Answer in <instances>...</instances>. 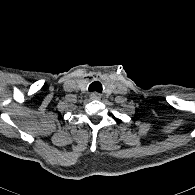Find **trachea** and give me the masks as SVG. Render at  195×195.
<instances>
[{
  "instance_id": "3493384b",
  "label": "trachea",
  "mask_w": 195,
  "mask_h": 195,
  "mask_svg": "<svg viewBox=\"0 0 195 195\" xmlns=\"http://www.w3.org/2000/svg\"><path fill=\"white\" fill-rule=\"evenodd\" d=\"M89 91H97V92H101L102 91V85L100 82H93L90 84L89 86Z\"/></svg>"
}]
</instances>
